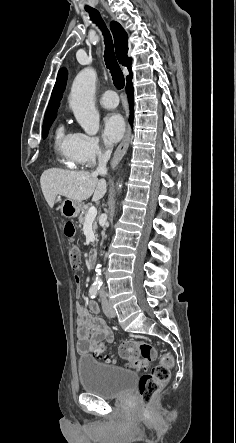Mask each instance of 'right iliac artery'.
Returning a JSON list of instances; mask_svg holds the SVG:
<instances>
[{"mask_svg":"<svg viewBox=\"0 0 236 443\" xmlns=\"http://www.w3.org/2000/svg\"><path fill=\"white\" fill-rule=\"evenodd\" d=\"M100 287L96 285H92L89 289V295L91 298H95L98 294Z\"/></svg>","mask_w":236,"mask_h":443,"instance_id":"obj_1","label":"right iliac artery"}]
</instances>
